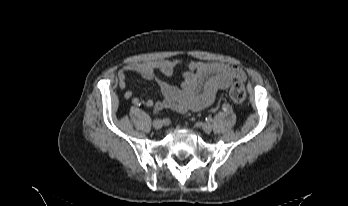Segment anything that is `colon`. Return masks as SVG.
Listing matches in <instances>:
<instances>
[{"label": "colon", "mask_w": 348, "mask_h": 206, "mask_svg": "<svg viewBox=\"0 0 348 206\" xmlns=\"http://www.w3.org/2000/svg\"><path fill=\"white\" fill-rule=\"evenodd\" d=\"M229 97L235 104H242L246 98V90L242 83L233 84L229 90Z\"/></svg>", "instance_id": "5ec220e1"}]
</instances>
